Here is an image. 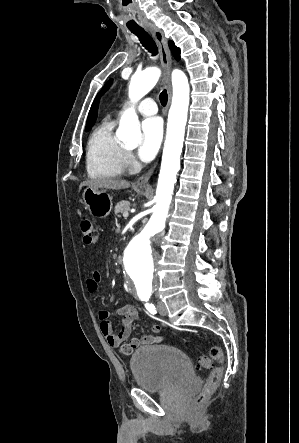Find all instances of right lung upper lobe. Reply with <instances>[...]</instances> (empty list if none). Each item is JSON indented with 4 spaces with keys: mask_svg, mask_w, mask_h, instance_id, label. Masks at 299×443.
<instances>
[{
    "mask_svg": "<svg viewBox=\"0 0 299 443\" xmlns=\"http://www.w3.org/2000/svg\"><path fill=\"white\" fill-rule=\"evenodd\" d=\"M97 108H98V99L96 98L91 106L88 119H87V125H93L97 118Z\"/></svg>",
    "mask_w": 299,
    "mask_h": 443,
    "instance_id": "cb5924a9",
    "label": "right lung upper lobe"
}]
</instances>
